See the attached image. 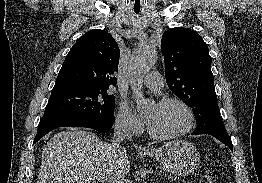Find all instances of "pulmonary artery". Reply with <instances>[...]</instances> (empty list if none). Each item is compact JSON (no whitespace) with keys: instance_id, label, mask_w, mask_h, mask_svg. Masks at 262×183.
<instances>
[{"instance_id":"e3ab8cb5","label":"pulmonary artery","mask_w":262,"mask_h":183,"mask_svg":"<svg viewBox=\"0 0 262 183\" xmlns=\"http://www.w3.org/2000/svg\"><path fill=\"white\" fill-rule=\"evenodd\" d=\"M142 83L152 90H159L163 87V79L159 72L151 71L142 80Z\"/></svg>"}]
</instances>
